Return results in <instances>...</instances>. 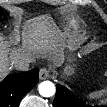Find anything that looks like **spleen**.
<instances>
[{"label": "spleen", "mask_w": 107, "mask_h": 107, "mask_svg": "<svg viewBox=\"0 0 107 107\" xmlns=\"http://www.w3.org/2000/svg\"><path fill=\"white\" fill-rule=\"evenodd\" d=\"M98 95H99V92H93V93L89 94L88 97H89L90 99H92V98L97 97Z\"/></svg>", "instance_id": "obj_1"}]
</instances>
